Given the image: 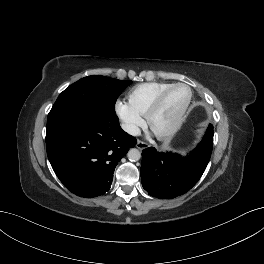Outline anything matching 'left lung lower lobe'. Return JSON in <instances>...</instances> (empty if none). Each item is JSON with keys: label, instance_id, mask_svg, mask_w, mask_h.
Instances as JSON below:
<instances>
[{"label": "left lung lower lobe", "instance_id": "obj_1", "mask_svg": "<svg viewBox=\"0 0 264 264\" xmlns=\"http://www.w3.org/2000/svg\"><path fill=\"white\" fill-rule=\"evenodd\" d=\"M213 126L189 155L182 157L158 152L149 147L142 152L141 180L148 194L170 199L186 193L200 179L209 162L213 147Z\"/></svg>", "mask_w": 264, "mask_h": 264}]
</instances>
